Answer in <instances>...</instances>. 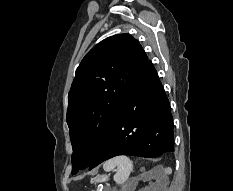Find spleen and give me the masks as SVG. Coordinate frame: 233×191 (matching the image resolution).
I'll list each match as a JSON object with an SVG mask.
<instances>
[{"label":"spleen","mask_w":233,"mask_h":191,"mask_svg":"<svg viewBox=\"0 0 233 191\" xmlns=\"http://www.w3.org/2000/svg\"><path fill=\"white\" fill-rule=\"evenodd\" d=\"M103 169L106 172L115 170L114 181L117 184H124L133 170V161L127 156H117L106 161Z\"/></svg>","instance_id":"spleen-1"}]
</instances>
